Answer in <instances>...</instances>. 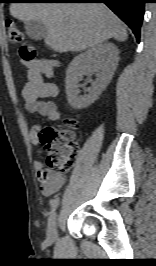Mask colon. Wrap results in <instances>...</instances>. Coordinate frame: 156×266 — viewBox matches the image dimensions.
Segmentation results:
<instances>
[{"label": "colon", "mask_w": 156, "mask_h": 266, "mask_svg": "<svg viewBox=\"0 0 156 266\" xmlns=\"http://www.w3.org/2000/svg\"><path fill=\"white\" fill-rule=\"evenodd\" d=\"M8 38L11 42L20 44V56L25 62L37 57L35 46L24 41V35L19 26L12 20L6 21ZM77 121L66 119L62 127H46L41 133V142L47 150L48 171L55 174L67 173L75 164L79 146L75 139Z\"/></svg>", "instance_id": "1"}]
</instances>
